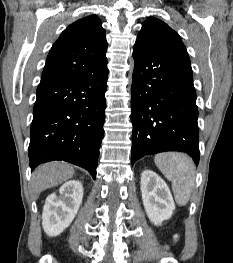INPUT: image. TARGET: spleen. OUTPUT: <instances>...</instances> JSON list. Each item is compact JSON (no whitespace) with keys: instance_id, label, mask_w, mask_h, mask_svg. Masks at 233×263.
<instances>
[{"instance_id":"spleen-1","label":"spleen","mask_w":233,"mask_h":263,"mask_svg":"<svg viewBox=\"0 0 233 263\" xmlns=\"http://www.w3.org/2000/svg\"><path fill=\"white\" fill-rule=\"evenodd\" d=\"M156 166L172 182L178 205L185 206L195 184V166L191 158L180 152H166L154 158Z\"/></svg>"}]
</instances>
